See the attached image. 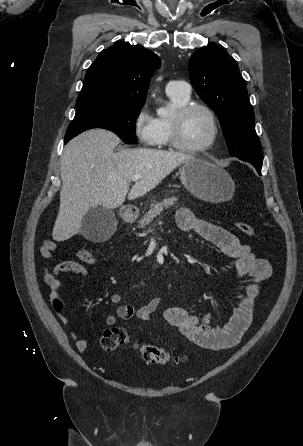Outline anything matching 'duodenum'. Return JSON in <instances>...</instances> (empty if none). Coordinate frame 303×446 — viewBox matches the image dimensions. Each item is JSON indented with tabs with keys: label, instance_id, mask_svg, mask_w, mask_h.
Here are the masks:
<instances>
[{
	"label": "duodenum",
	"instance_id": "obj_1",
	"mask_svg": "<svg viewBox=\"0 0 303 446\" xmlns=\"http://www.w3.org/2000/svg\"><path fill=\"white\" fill-rule=\"evenodd\" d=\"M123 218H124L126 221H131V220L134 218V212H133L132 210H130V209H126V210H124V212H123Z\"/></svg>",
	"mask_w": 303,
	"mask_h": 446
}]
</instances>
